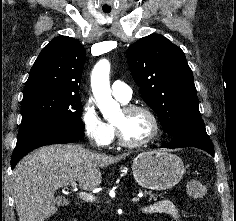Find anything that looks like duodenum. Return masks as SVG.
<instances>
[{"label":"duodenum","mask_w":236,"mask_h":221,"mask_svg":"<svg viewBox=\"0 0 236 221\" xmlns=\"http://www.w3.org/2000/svg\"><path fill=\"white\" fill-rule=\"evenodd\" d=\"M73 221H78V218L76 216L73 217Z\"/></svg>","instance_id":"obj_1"}]
</instances>
